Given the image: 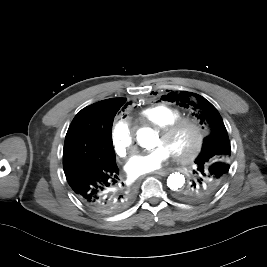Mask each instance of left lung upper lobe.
Here are the masks:
<instances>
[{
	"label": "left lung upper lobe",
	"instance_id": "5c2ea615",
	"mask_svg": "<svg viewBox=\"0 0 267 267\" xmlns=\"http://www.w3.org/2000/svg\"><path fill=\"white\" fill-rule=\"evenodd\" d=\"M161 99L191 108L200 124L209 129L210 133L204 139L202 150L195 160L196 168L193 173L196 178L176 195L184 202L204 200L222 186L230 167L231 146L223 120L216 108L196 93L171 92Z\"/></svg>",
	"mask_w": 267,
	"mask_h": 267
}]
</instances>
